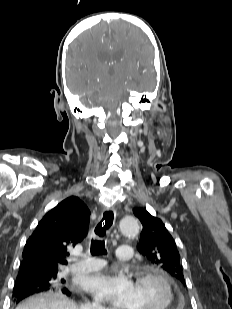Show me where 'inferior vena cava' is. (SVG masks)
<instances>
[{
  "instance_id": "602c4592",
  "label": "inferior vena cava",
  "mask_w": 232,
  "mask_h": 309,
  "mask_svg": "<svg viewBox=\"0 0 232 309\" xmlns=\"http://www.w3.org/2000/svg\"><path fill=\"white\" fill-rule=\"evenodd\" d=\"M82 309H104L99 302H94L93 304L83 307Z\"/></svg>"
}]
</instances>
